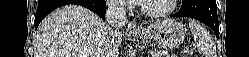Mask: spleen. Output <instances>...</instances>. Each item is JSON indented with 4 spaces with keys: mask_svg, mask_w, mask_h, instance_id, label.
<instances>
[{
    "mask_svg": "<svg viewBox=\"0 0 249 57\" xmlns=\"http://www.w3.org/2000/svg\"><path fill=\"white\" fill-rule=\"evenodd\" d=\"M189 28L193 35L194 41L197 45L204 50L206 57H216L214 51L211 50L209 33L197 21L192 20L189 22Z\"/></svg>",
    "mask_w": 249,
    "mask_h": 57,
    "instance_id": "spleen-1",
    "label": "spleen"
}]
</instances>
